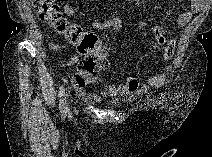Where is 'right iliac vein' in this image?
<instances>
[{"instance_id":"63e3f726","label":"right iliac vein","mask_w":212,"mask_h":157,"mask_svg":"<svg viewBox=\"0 0 212 157\" xmlns=\"http://www.w3.org/2000/svg\"><path fill=\"white\" fill-rule=\"evenodd\" d=\"M68 110H69V109H68V107H67V108H66V112H68Z\"/></svg>"}]
</instances>
